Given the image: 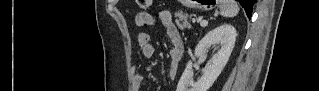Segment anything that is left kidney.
Wrapping results in <instances>:
<instances>
[{"label": "left kidney", "instance_id": "5707ae66", "mask_svg": "<svg viewBox=\"0 0 319 91\" xmlns=\"http://www.w3.org/2000/svg\"><path fill=\"white\" fill-rule=\"evenodd\" d=\"M236 36V29L230 24H223L209 31L196 46L192 61L207 56L209 49L216 44H218L217 53L206 64L204 74L197 82L193 80L192 61L190 60L178 82L177 91H208L227 64L235 45Z\"/></svg>", "mask_w": 319, "mask_h": 91}]
</instances>
